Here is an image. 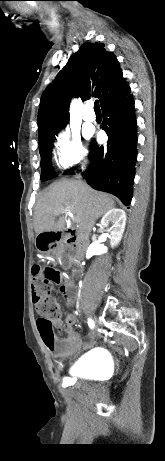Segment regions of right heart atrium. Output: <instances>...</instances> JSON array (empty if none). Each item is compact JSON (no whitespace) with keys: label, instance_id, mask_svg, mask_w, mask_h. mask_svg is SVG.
<instances>
[{"label":"right heart atrium","instance_id":"1","mask_svg":"<svg viewBox=\"0 0 165 461\" xmlns=\"http://www.w3.org/2000/svg\"><path fill=\"white\" fill-rule=\"evenodd\" d=\"M56 161L64 169L82 164L87 160V151L79 135L64 131L58 134L55 141Z\"/></svg>","mask_w":165,"mask_h":461}]
</instances>
